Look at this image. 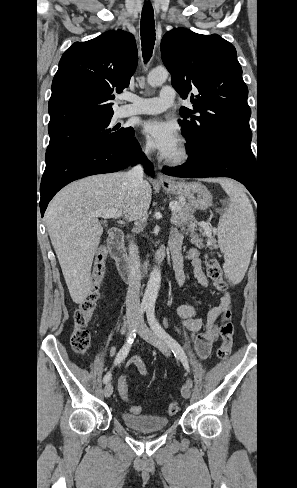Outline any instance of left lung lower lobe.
<instances>
[{
  "mask_svg": "<svg viewBox=\"0 0 297 488\" xmlns=\"http://www.w3.org/2000/svg\"><path fill=\"white\" fill-rule=\"evenodd\" d=\"M163 173L187 178L229 177L241 182L258 202L255 157L249 158L227 150L212 149L190 158L182 166L164 169Z\"/></svg>",
  "mask_w": 297,
  "mask_h": 488,
  "instance_id": "1",
  "label": "left lung lower lobe"
}]
</instances>
